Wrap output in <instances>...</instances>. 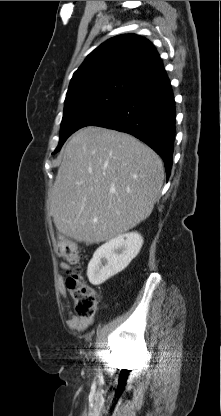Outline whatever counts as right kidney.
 I'll return each mask as SVG.
<instances>
[{"instance_id": "ca27d5eb", "label": "right kidney", "mask_w": 221, "mask_h": 416, "mask_svg": "<svg viewBox=\"0 0 221 416\" xmlns=\"http://www.w3.org/2000/svg\"><path fill=\"white\" fill-rule=\"evenodd\" d=\"M143 245L137 232L119 235L101 245L88 264L87 276L91 284L100 285L124 270Z\"/></svg>"}]
</instances>
